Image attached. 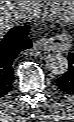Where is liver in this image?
Returning a JSON list of instances; mask_svg holds the SVG:
<instances>
[{
    "label": "liver",
    "instance_id": "liver-1",
    "mask_svg": "<svg viewBox=\"0 0 74 122\" xmlns=\"http://www.w3.org/2000/svg\"><path fill=\"white\" fill-rule=\"evenodd\" d=\"M33 1H0V37L2 38L20 17L23 6Z\"/></svg>",
    "mask_w": 74,
    "mask_h": 122
}]
</instances>
